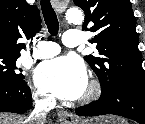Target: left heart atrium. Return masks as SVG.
<instances>
[{"mask_svg":"<svg viewBox=\"0 0 145 124\" xmlns=\"http://www.w3.org/2000/svg\"><path fill=\"white\" fill-rule=\"evenodd\" d=\"M35 82L41 90L60 99L75 100L81 97L87 88V75L79 59L58 57L37 67Z\"/></svg>","mask_w":145,"mask_h":124,"instance_id":"39dd6f15","label":"left heart atrium"}]
</instances>
